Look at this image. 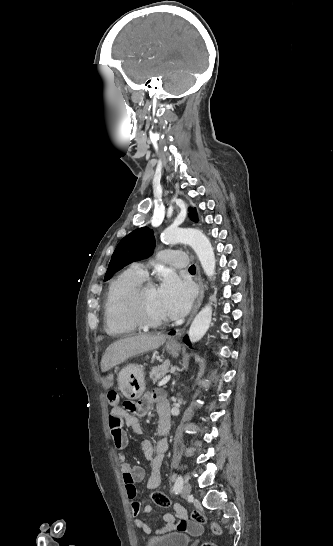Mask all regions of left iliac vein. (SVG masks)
Returning <instances> with one entry per match:
<instances>
[{
    "label": "left iliac vein",
    "instance_id": "1",
    "mask_svg": "<svg viewBox=\"0 0 333 546\" xmlns=\"http://www.w3.org/2000/svg\"><path fill=\"white\" fill-rule=\"evenodd\" d=\"M191 494V485L189 483H186L181 491V495L183 498L189 497Z\"/></svg>",
    "mask_w": 333,
    "mask_h": 546
}]
</instances>
